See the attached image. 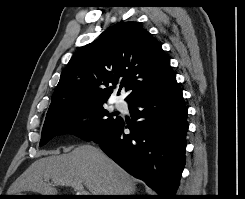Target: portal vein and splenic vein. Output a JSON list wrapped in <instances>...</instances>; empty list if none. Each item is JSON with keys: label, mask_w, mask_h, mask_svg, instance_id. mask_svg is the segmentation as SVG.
<instances>
[{"label": "portal vein and splenic vein", "mask_w": 245, "mask_h": 199, "mask_svg": "<svg viewBox=\"0 0 245 199\" xmlns=\"http://www.w3.org/2000/svg\"><path fill=\"white\" fill-rule=\"evenodd\" d=\"M55 184L72 186L75 190L78 191L79 195H90V193L87 190L84 189V186H83V184L81 182H76V181L63 182V181H59V182H56Z\"/></svg>", "instance_id": "obj_1"}]
</instances>
